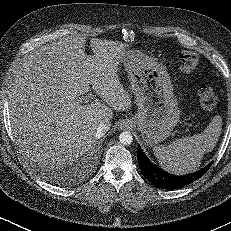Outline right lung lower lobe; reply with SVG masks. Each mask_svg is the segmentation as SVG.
I'll return each mask as SVG.
<instances>
[{"instance_id": "obj_1", "label": "right lung lower lobe", "mask_w": 231, "mask_h": 231, "mask_svg": "<svg viewBox=\"0 0 231 231\" xmlns=\"http://www.w3.org/2000/svg\"><path fill=\"white\" fill-rule=\"evenodd\" d=\"M75 174L74 171H72L71 173H54V174H50L49 179L51 178L53 181H56L57 183H65L67 181H69L70 178L74 177L73 175Z\"/></svg>"}]
</instances>
